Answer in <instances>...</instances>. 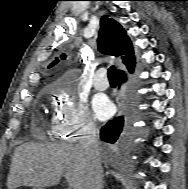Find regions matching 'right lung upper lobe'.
<instances>
[{
    "instance_id": "cb5924a9",
    "label": "right lung upper lobe",
    "mask_w": 188,
    "mask_h": 189,
    "mask_svg": "<svg viewBox=\"0 0 188 189\" xmlns=\"http://www.w3.org/2000/svg\"><path fill=\"white\" fill-rule=\"evenodd\" d=\"M100 25L98 38V49L100 52L122 58L128 70L132 72L135 65L134 51L130 38L124 28L117 21L107 16L102 17ZM65 58L66 55H63L62 59ZM58 61V58H56L49 65V68L54 66ZM123 74V71H118V75Z\"/></svg>"
}]
</instances>
